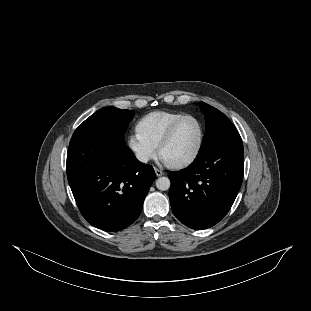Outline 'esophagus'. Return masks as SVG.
I'll list each match as a JSON object with an SVG mask.
<instances>
[{"label": "esophagus", "instance_id": "34e87169", "mask_svg": "<svg viewBox=\"0 0 311 311\" xmlns=\"http://www.w3.org/2000/svg\"><path fill=\"white\" fill-rule=\"evenodd\" d=\"M154 171L157 177L163 176L164 172L159 170L158 168L154 167Z\"/></svg>", "mask_w": 311, "mask_h": 311}]
</instances>
